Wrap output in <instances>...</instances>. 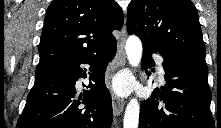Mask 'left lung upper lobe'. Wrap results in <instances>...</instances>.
Returning a JSON list of instances; mask_svg holds the SVG:
<instances>
[{"label": "left lung upper lobe", "mask_w": 221, "mask_h": 128, "mask_svg": "<svg viewBox=\"0 0 221 128\" xmlns=\"http://www.w3.org/2000/svg\"><path fill=\"white\" fill-rule=\"evenodd\" d=\"M127 30L143 45L207 66L198 14L190 0H133Z\"/></svg>", "instance_id": "obj_1"}]
</instances>
